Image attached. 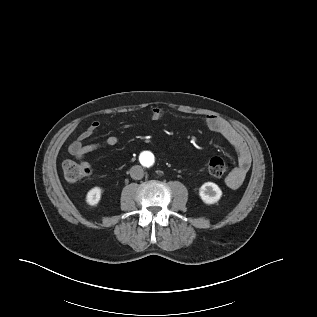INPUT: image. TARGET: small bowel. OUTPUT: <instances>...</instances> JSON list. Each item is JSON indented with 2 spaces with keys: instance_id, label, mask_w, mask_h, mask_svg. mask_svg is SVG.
<instances>
[{
  "instance_id": "obj_1",
  "label": "small bowel",
  "mask_w": 317,
  "mask_h": 317,
  "mask_svg": "<svg viewBox=\"0 0 317 317\" xmlns=\"http://www.w3.org/2000/svg\"><path fill=\"white\" fill-rule=\"evenodd\" d=\"M165 116L166 111L161 107H155L151 111V118L155 121L161 120ZM203 120L207 128L221 135L237 150V166L227 176L225 182L227 186L232 189L240 187L251 166V156L243 142L242 137L228 121L220 116L209 114L206 115ZM100 125L101 124L97 121L91 123L68 147L69 153L86 167H90V164L86 160L88 154L104 146H115L119 142L118 137L108 136L101 142L86 144L85 141L98 131Z\"/></svg>"
}]
</instances>
